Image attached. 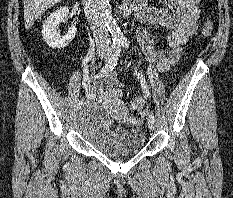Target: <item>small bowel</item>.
<instances>
[{
    "label": "small bowel",
    "mask_w": 233,
    "mask_h": 198,
    "mask_svg": "<svg viewBox=\"0 0 233 198\" xmlns=\"http://www.w3.org/2000/svg\"><path fill=\"white\" fill-rule=\"evenodd\" d=\"M175 12L157 9L143 4L137 12L140 22L137 28V42L147 61L160 71L165 72L179 60L182 46L189 40L198 27L199 9L193 0H168ZM160 25L169 29L168 48L158 50L148 33V26ZM98 79V78H97ZM116 84L118 88H114ZM123 80L116 71H110L99 80H89L85 93L89 100L107 105L121 117H127L122 102ZM132 120V119H130Z\"/></svg>",
    "instance_id": "c3829d8e"
}]
</instances>
